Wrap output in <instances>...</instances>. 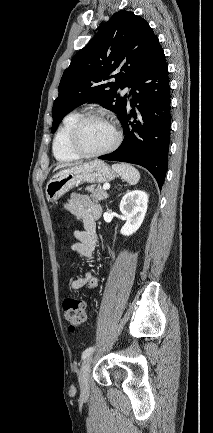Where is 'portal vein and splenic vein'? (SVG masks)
I'll return each instance as SVG.
<instances>
[{"mask_svg": "<svg viewBox=\"0 0 213 433\" xmlns=\"http://www.w3.org/2000/svg\"><path fill=\"white\" fill-rule=\"evenodd\" d=\"M103 188H104L105 190H108V189L110 188V185H109V184H105V185H103Z\"/></svg>", "mask_w": 213, "mask_h": 433, "instance_id": "obj_1", "label": "portal vein and splenic vein"}]
</instances>
